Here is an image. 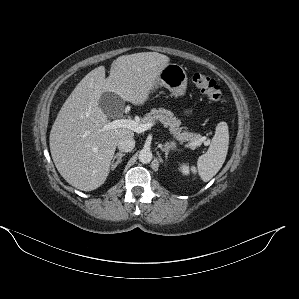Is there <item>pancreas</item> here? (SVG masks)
Here are the masks:
<instances>
[{
  "mask_svg": "<svg viewBox=\"0 0 299 299\" xmlns=\"http://www.w3.org/2000/svg\"><path fill=\"white\" fill-rule=\"evenodd\" d=\"M155 120H159L165 127H168L170 133L177 141L180 143L188 142V146L191 148L200 146L204 142V138L200 134L183 131V127H180L181 121L170 110L164 108L152 109L140 120V123L146 124Z\"/></svg>",
  "mask_w": 299,
  "mask_h": 299,
  "instance_id": "pancreas-1",
  "label": "pancreas"
}]
</instances>
